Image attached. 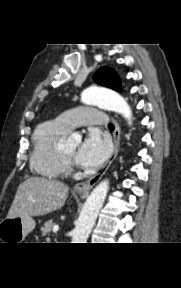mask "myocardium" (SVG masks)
<instances>
[{
	"mask_svg": "<svg viewBox=\"0 0 181 288\" xmlns=\"http://www.w3.org/2000/svg\"><path fill=\"white\" fill-rule=\"evenodd\" d=\"M62 154H63L64 159H65L66 162L68 163V166H69V165H73V158L70 157V156H68V155H66V154L63 152V150H62Z\"/></svg>",
	"mask_w": 181,
	"mask_h": 288,
	"instance_id": "1",
	"label": "myocardium"
}]
</instances>
